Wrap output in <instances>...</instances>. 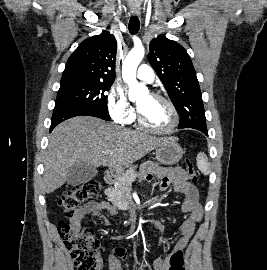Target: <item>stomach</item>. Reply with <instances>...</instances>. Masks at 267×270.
Wrapping results in <instances>:
<instances>
[{
	"label": "stomach",
	"instance_id": "1",
	"mask_svg": "<svg viewBox=\"0 0 267 270\" xmlns=\"http://www.w3.org/2000/svg\"><path fill=\"white\" fill-rule=\"evenodd\" d=\"M156 159L164 165H173L179 162L183 155L182 147L177 143L176 139L169 138L156 148ZM117 176L123 174V169L116 170Z\"/></svg>",
	"mask_w": 267,
	"mask_h": 270
}]
</instances>
